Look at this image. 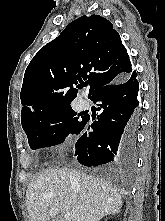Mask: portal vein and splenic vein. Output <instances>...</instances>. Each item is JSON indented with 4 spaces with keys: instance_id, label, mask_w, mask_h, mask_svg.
Here are the masks:
<instances>
[{
    "instance_id": "portal-vein-and-splenic-vein-1",
    "label": "portal vein and splenic vein",
    "mask_w": 165,
    "mask_h": 221,
    "mask_svg": "<svg viewBox=\"0 0 165 221\" xmlns=\"http://www.w3.org/2000/svg\"><path fill=\"white\" fill-rule=\"evenodd\" d=\"M58 213H59V210L57 208H55V207L50 208L49 214L51 217H55ZM63 217H64L65 221H71L69 216L64 215Z\"/></svg>"
}]
</instances>
